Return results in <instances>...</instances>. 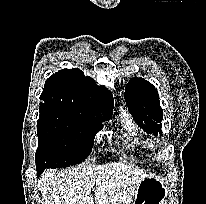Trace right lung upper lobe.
<instances>
[{"label":"right lung upper lobe","mask_w":206,"mask_h":204,"mask_svg":"<svg viewBox=\"0 0 206 204\" xmlns=\"http://www.w3.org/2000/svg\"><path fill=\"white\" fill-rule=\"evenodd\" d=\"M40 107L60 108L107 118L113 113V96L78 69H63L50 76L40 96Z\"/></svg>","instance_id":"cb5924a9"}]
</instances>
